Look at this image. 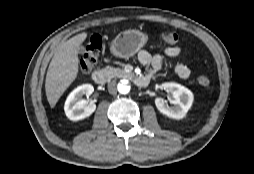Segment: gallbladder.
I'll use <instances>...</instances> for the list:
<instances>
[{
  "label": "gallbladder",
  "mask_w": 254,
  "mask_h": 174,
  "mask_svg": "<svg viewBox=\"0 0 254 174\" xmlns=\"http://www.w3.org/2000/svg\"><path fill=\"white\" fill-rule=\"evenodd\" d=\"M79 51H80V53H85L86 49H85L83 46H81V47L79 48Z\"/></svg>",
  "instance_id": "gallbladder-1"
}]
</instances>
